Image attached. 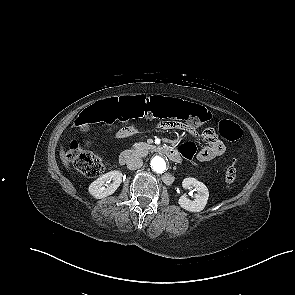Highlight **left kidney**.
<instances>
[{"label":"left kidney","instance_id":"left-kidney-1","mask_svg":"<svg viewBox=\"0 0 295 295\" xmlns=\"http://www.w3.org/2000/svg\"><path fill=\"white\" fill-rule=\"evenodd\" d=\"M182 186L185 189L194 187L197 193L194 194L193 200L188 199L186 195H182L178 200L179 205L189 212L202 211L206 206L209 197V191L206 185L195 178L189 177L183 180Z\"/></svg>","mask_w":295,"mask_h":295}]
</instances>
